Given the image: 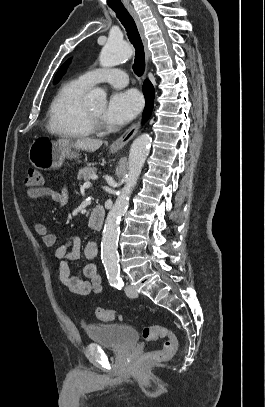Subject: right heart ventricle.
Here are the masks:
<instances>
[{"label": "right heart ventricle", "mask_w": 265, "mask_h": 407, "mask_svg": "<svg viewBox=\"0 0 265 407\" xmlns=\"http://www.w3.org/2000/svg\"><path fill=\"white\" fill-rule=\"evenodd\" d=\"M88 88L89 86L79 78L61 86L48 111L47 129L51 134L77 139L93 134L87 122L83 103Z\"/></svg>", "instance_id": "obj_1"}]
</instances>
